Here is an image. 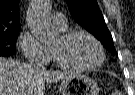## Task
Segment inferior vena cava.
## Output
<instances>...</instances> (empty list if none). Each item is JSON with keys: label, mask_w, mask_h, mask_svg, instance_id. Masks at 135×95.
I'll return each mask as SVG.
<instances>
[{"label": "inferior vena cava", "mask_w": 135, "mask_h": 95, "mask_svg": "<svg viewBox=\"0 0 135 95\" xmlns=\"http://www.w3.org/2000/svg\"><path fill=\"white\" fill-rule=\"evenodd\" d=\"M29 65H31V66H36L35 64H33L32 62H31V64H29Z\"/></svg>", "instance_id": "obj_1"}]
</instances>
